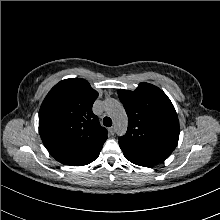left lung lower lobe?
Segmentation results:
<instances>
[{
  "instance_id": "obj_1",
  "label": "left lung lower lobe",
  "mask_w": 220,
  "mask_h": 220,
  "mask_svg": "<svg viewBox=\"0 0 220 220\" xmlns=\"http://www.w3.org/2000/svg\"><path fill=\"white\" fill-rule=\"evenodd\" d=\"M125 158L127 160H129L130 162L136 164V165H139V166H145V167H149V166H152L151 164L147 163V162H144L142 160H139V159H136L134 158L133 156L131 155H127V154H124Z\"/></svg>"
}]
</instances>
